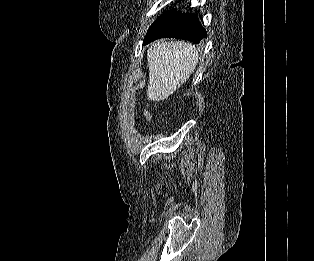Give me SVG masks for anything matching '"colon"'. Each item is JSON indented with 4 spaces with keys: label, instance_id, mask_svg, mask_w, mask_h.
Instances as JSON below:
<instances>
[{
    "label": "colon",
    "instance_id": "5ec220e1",
    "mask_svg": "<svg viewBox=\"0 0 314 261\" xmlns=\"http://www.w3.org/2000/svg\"><path fill=\"white\" fill-rule=\"evenodd\" d=\"M144 115H145V117H147V118L149 117V115H148V113H147V112H145V113H144Z\"/></svg>",
    "mask_w": 314,
    "mask_h": 261
}]
</instances>
